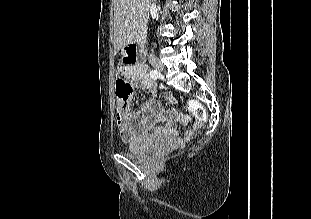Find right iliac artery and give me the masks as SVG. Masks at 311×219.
<instances>
[{
    "label": "right iliac artery",
    "instance_id": "1",
    "mask_svg": "<svg viewBox=\"0 0 311 219\" xmlns=\"http://www.w3.org/2000/svg\"><path fill=\"white\" fill-rule=\"evenodd\" d=\"M150 76L152 79H157L159 77V73L156 70H151L150 71Z\"/></svg>",
    "mask_w": 311,
    "mask_h": 219
}]
</instances>
